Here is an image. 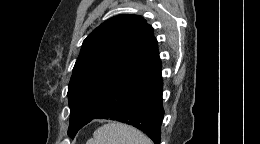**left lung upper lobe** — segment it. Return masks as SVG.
<instances>
[{
	"mask_svg": "<svg viewBox=\"0 0 260 144\" xmlns=\"http://www.w3.org/2000/svg\"><path fill=\"white\" fill-rule=\"evenodd\" d=\"M153 33L143 17L124 14L106 20L87 36L68 86L71 138L93 120L131 74L158 60Z\"/></svg>",
	"mask_w": 260,
	"mask_h": 144,
	"instance_id": "obj_1",
	"label": "left lung upper lobe"
}]
</instances>
